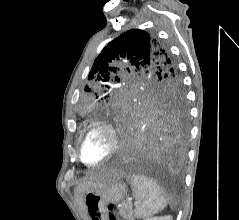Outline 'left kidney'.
<instances>
[{
	"instance_id": "obj_1",
	"label": "left kidney",
	"mask_w": 239,
	"mask_h": 220,
	"mask_svg": "<svg viewBox=\"0 0 239 220\" xmlns=\"http://www.w3.org/2000/svg\"><path fill=\"white\" fill-rule=\"evenodd\" d=\"M145 220H173L170 215L163 216V217H149L146 218Z\"/></svg>"
}]
</instances>
